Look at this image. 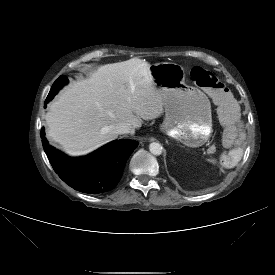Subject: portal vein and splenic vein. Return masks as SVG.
<instances>
[{
    "label": "portal vein and splenic vein",
    "instance_id": "portal-vein-and-splenic-vein-1",
    "mask_svg": "<svg viewBox=\"0 0 275 275\" xmlns=\"http://www.w3.org/2000/svg\"><path fill=\"white\" fill-rule=\"evenodd\" d=\"M208 153H213V148H210V149L208 150Z\"/></svg>",
    "mask_w": 275,
    "mask_h": 275
}]
</instances>
